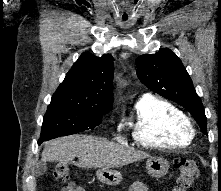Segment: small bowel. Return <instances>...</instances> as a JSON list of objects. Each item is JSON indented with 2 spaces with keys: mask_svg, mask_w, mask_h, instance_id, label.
I'll list each match as a JSON object with an SVG mask.
<instances>
[{
  "mask_svg": "<svg viewBox=\"0 0 221 191\" xmlns=\"http://www.w3.org/2000/svg\"><path fill=\"white\" fill-rule=\"evenodd\" d=\"M149 188L146 183L142 181H134L130 186V191H148Z\"/></svg>",
  "mask_w": 221,
  "mask_h": 191,
  "instance_id": "c3829d8e",
  "label": "small bowel"
}]
</instances>
